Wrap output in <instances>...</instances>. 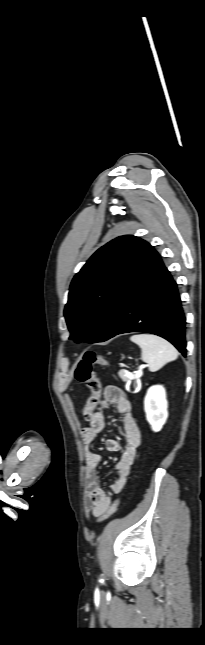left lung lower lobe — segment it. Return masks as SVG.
<instances>
[{
  "mask_svg": "<svg viewBox=\"0 0 205 645\" xmlns=\"http://www.w3.org/2000/svg\"><path fill=\"white\" fill-rule=\"evenodd\" d=\"M116 316L106 340L118 334L146 332L163 337L186 356V318L177 284L146 241L124 284Z\"/></svg>",
  "mask_w": 205,
  "mask_h": 645,
  "instance_id": "left-lung-lower-lobe-1",
  "label": "left lung lower lobe"
}]
</instances>
